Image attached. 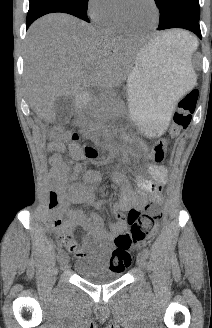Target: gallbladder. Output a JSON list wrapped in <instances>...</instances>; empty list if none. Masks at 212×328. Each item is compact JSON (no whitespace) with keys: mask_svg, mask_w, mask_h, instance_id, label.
Masks as SVG:
<instances>
[{"mask_svg":"<svg viewBox=\"0 0 212 328\" xmlns=\"http://www.w3.org/2000/svg\"><path fill=\"white\" fill-rule=\"evenodd\" d=\"M54 122L59 125H64L69 122L73 108H74V98L68 96H60L54 101Z\"/></svg>","mask_w":212,"mask_h":328,"instance_id":"gallbladder-1","label":"gallbladder"}]
</instances>
